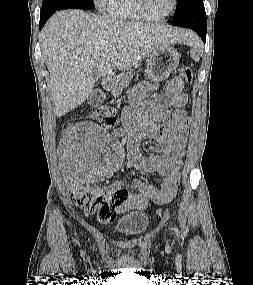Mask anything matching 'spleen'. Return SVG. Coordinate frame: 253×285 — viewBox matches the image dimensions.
<instances>
[{
  "label": "spleen",
  "instance_id": "1",
  "mask_svg": "<svg viewBox=\"0 0 253 285\" xmlns=\"http://www.w3.org/2000/svg\"><path fill=\"white\" fill-rule=\"evenodd\" d=\"M188 42L193 46L191 52H190V55L192 57V59H194L196 62H198L200 60V57L198 55V45H197V42H196V39L193 37V36H190Z\"/></svg>",
  "mask_w": 253,
  "mask_h": 285
}]
</instances>
